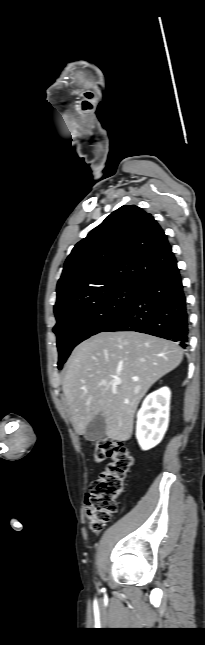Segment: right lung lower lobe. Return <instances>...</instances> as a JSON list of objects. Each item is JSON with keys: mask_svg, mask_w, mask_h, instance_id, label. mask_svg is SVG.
<instances>
[{"mask_svg": "<svg viewBox=\"0 0 205 645\" xmlns=\"http://www.w3.org/2000/svg\"><path fill=\"white\" fill-rule=\"evenodd\" d=\"M188 313L177 261L136 284L134 302L101 332L136 331L188 346Z\"/></svg>", "mask_w": 205, "mask_h": 645, "instance_id": "obj_1", "label": "right lung lower lobe"}]
</instances>
